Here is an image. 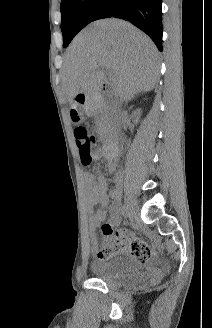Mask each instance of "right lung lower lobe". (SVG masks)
<instances>
[{"mask_svg": "<svg viewBox=\"0 0 212 328\" xmlns=\"http://www.w3.org/2000/svg\"><path fill=\"white\" fill-rule=\"evenodd\" d=\"M161 0H103L93 21L116 17L127 20L144 31L162 51Z\"/></svg>", "mask_w": 212, "mask_h": 328, "instance_id": "right-lung-lower-lobe-1", "label": "right lung lower lobe"}]
</instances>
